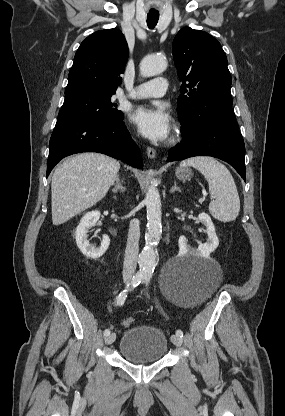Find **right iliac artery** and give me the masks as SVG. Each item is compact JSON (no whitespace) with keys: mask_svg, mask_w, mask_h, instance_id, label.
<instances>
[{"mask_svg":"<svg viewBox=\"0 0 285 416\" xmlns=\"http://www.w3.org/2000/svg\"><path fill=\"white\" fill-rule=\"evenodd\" d=\"M143 280V274L140 272H137L131 279L130 283L127 284L126 288L116 297V304L119 306H122L126 300L127 292L136 286H138L141 281ZM110 334L109 329L104 330V336H108Z\"/></svg>","mask_w":285,"mask_h":416,"instance_id":"1","label":"right iliac artery"}]
</instances>
